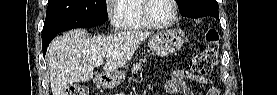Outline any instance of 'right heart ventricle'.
Returning a JSON list of instances; mask_svg holds the SVG:
<instances>
[{
    "instance_id": "1",
    "label": "right heart ventricle",
    "mask_w": 277,
    "mask_h": 95,
    "mask_svg": "<svg viewBox=\"0 0 277 95\" xmlns=\"http://www.w3.org/2000/svg\"><path fill=\"white\" fill-rule=\"evenodd\" d=\"M143 4L144 0L116 1L117 28L124 31L150 28L143 16Z\"/></svg>"
}]
</instances>
